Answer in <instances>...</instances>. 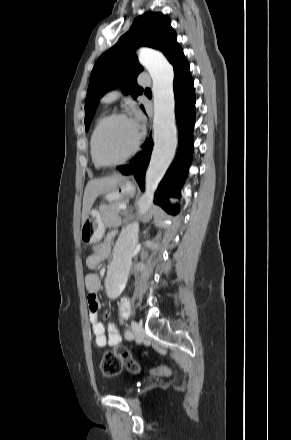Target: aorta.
<instances>
[{
  "mask_svg": "<svg viewBox=\"0 0 291 440\" xmlns=\"http://www.w3.org/2000/svg\"><path fill=\"white\" fill-rule=\"evenodd\" d=\"M138 58L152 78L154 99V147L146 171V190L138 203L139 214L143 215L148 211L154 192L175 155L178 140L175 124L173 66L162 53L152 49L141 48L138 51ZM138 233L139 223L135 221L126 227L116 243L106 279V292L110 297L119 295L126 286Z\"/></svg>",
  "mask_w": 291,
  "mask_h": 440,
  "instance_id": "1",
  "label": "aorta"
}]
</instances>
